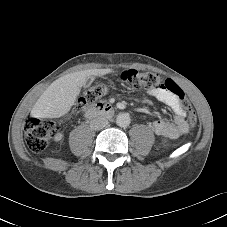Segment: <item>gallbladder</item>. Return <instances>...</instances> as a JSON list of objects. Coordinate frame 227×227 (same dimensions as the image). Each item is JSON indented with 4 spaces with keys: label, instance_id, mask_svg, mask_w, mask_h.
<instances>
[{
    "label": "gallbladder",
    "instance_id": "gallbladder-1",
    "mask_svg": "<svg viewBox=\"0 0 227 227\" xmlns=\"http://www.w3.org/2000/svg\"><path fill=\"white\" fill-rule=\"evenodd\" d=\"M92 82H93V78L92 77L88 78L84 83V87H89Z\"/></svg>",
    "mask_w": 227,
    "mask_h": 227
}]
</instances>
